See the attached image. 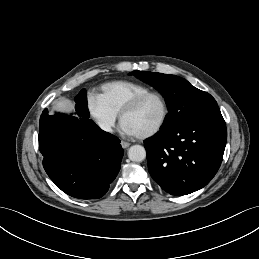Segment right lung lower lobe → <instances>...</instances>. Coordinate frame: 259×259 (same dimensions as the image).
I'll use <instances>...</instances> for the list:
<instances>
[{
    "label": "right lung lower lobe",
    "instance_id": "98d812e1",
    "mask_svg": "<svg viewBox=\"0 0 259 259\" xmlns=\"http://www.w3.org/2000/svg\"><path fill=\"white\" fill-rule=\"evenodd\" d=\"M40 117L39 150L50 179L66 194L97 199L116 178L123 157L120 140L101 130L86 115Z\"/></svg>",
    "mask_w": 259,
    "mask_h": 259
}]
</instances>
